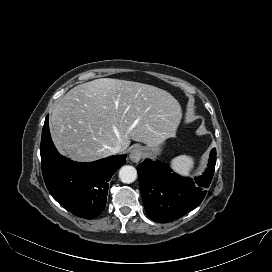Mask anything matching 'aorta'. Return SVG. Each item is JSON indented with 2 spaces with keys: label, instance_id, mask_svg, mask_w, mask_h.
Returning a JSON list of instances; mask_svg holds the SVG:
<instances>
[{
  "label": "aorta",
  "instance_id": "1",
  "mask_svg": "<svg viewBox=\"0 0 272 272\" xmlns=\"http://www.w3.org/2000/svg\"><path fill=\"white\" fill-rule=\"evenodd\" d=\"M119 178L123 183H132L137 178V171L133 166H123L119 170Z\"/></svg>",
  "mask_w": 272,
  "mask_h": 272
}]
</instances>
